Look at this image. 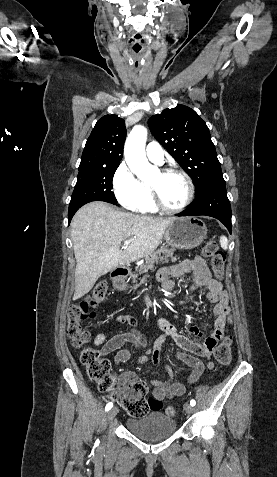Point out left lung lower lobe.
<instances>
[{
    "label": "left lung lower lobe",
    "mask_w": 277,
    "mask_h": 477,
    "mask_svg": "<svg viewBox=\"0 0 277 477\" xmlns=\"http://www.w3.org/2000/svg\"><path fill=\"white\" fill-rule=\"evenodd\" d=\"M206 215L220 220L231 233V206L222 173L210 177L198 191L193 205L177 216Z\"/></svg>",
    "instance_id": "obj_1"
}]
</instances>
